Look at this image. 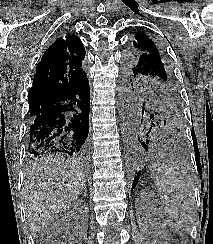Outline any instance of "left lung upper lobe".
Returning <instances> with one entry per match:
<instances>
[{
    "label": "left lung upper lobe",
    "instance_id": "5c2ea615",
    "mask_svg": "<svg viewBox=\"0 0 213 244\" xmlns=\"http://www.w3.org/2000/svg\"><path fill=\"white\" fill-rule=\"evenodd\" d=\"M122 68L124 107L156 124L165 138L182 136L183 106L168 58L144 33H135Z\"/></svg>",
    "mask_w": 213,
    "mask_h": 244
}]
</instances>
